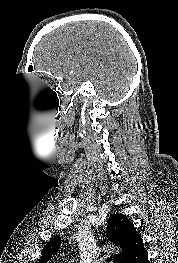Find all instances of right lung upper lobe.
I'll return each instance as SVG.
<instances>
[{
	"instance_id": "right-lung-upper-lobe-1",
	"label": "right lung upper lobe",
	"mask_w": 178,
	"mask_h": 263,
	"mask_svg": "<svg viewBox=\"0 0 178 263\" xmlns=\"http://www.w3.org/2000/svg\"><path fill=\"white\" fill-rule=\"evenodd\" d=\"M108 240L119 248V253L114 255V263H131L141 252L145 250L141 236L135 230L134 225L123 214H112L106 227ZM61 238L55 236L44 248L39 263H48L52 256L59 251Z\"/></svg>"
}]
</instances>
